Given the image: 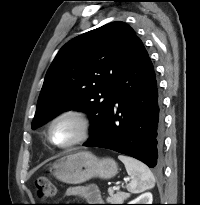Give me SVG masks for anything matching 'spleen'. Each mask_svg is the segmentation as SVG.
<instances>
[{"instance_id":"obj_1","label":"spleen","mask_w":200,"mask_h":205,"mask_svg":"<svg viewBox=\"0 0 200 205\" xmlns=\"http://www.w3.org/2000/svg\"><path fill=\"white\" fill-rule=\"evenodd\" d=\"M118 159L124 163L127 173L131 176L127 185L129 192L140 193L154 187L155 178L143 162L124 155H119Z\"/></svg>"}]
</instances>
